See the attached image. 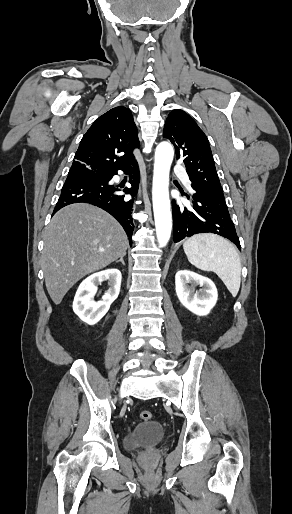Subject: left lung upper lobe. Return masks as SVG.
Listing matches in <instances>:
<instances>
[{
	"instance_id": "obj_1",
	"label": "left lung upper lobe",
	"mask_w": 292,
	"mask_h": 514,
	"mask_svg": "<svg viewBox=\"0 0 292 514\" xmlns=\"http://www.w3.org/2000/svg\"><path fill=\"white\" fill-rule=\"evenodd\" d=\"M163 137L174 145L177 159L183 160L193 190L224 196L209 141L186 112L176 109L169 113Z\"/></svg>"
}]
</instances>
